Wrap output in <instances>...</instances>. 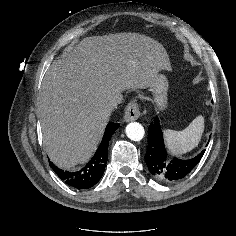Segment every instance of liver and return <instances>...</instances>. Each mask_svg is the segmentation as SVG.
<instances>
[{"label":"liver","mask_w":236,"mask_h":236,"mask_svg":"<svg viewBox=\"0 0 236 236\" xmlns=\"http://www.w3.org/2000/svg\"><path fill=\"white\" fill-rule=\"evenodd\" d=\"M170 70L165 48L138 33L84 38L55 60L39 94L43 141L50 160L69 170L95 152L122 92L151 87Z\"/></svg>","instance_id":"obj_1"}]
</instances>
